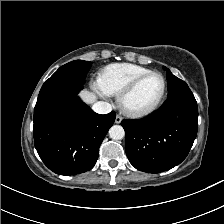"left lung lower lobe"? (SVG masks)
<instances>
[{
    "label": "left lung lower lobe",
    "mask_w": 224,
    "mask_h": 224,
    "mask_svg": "<svg viewBox=\"0 0 224 224\" xmlns=\"http://www.w3.org/2000/svg\"><path fill=\"white\" fill-rule=\"evenodd\" d=\"M125 148L138 170L159 173L180 164L188 155L198 130V107L189 87L168 95L148 117L123 120Z\"/></svg>",
    "instance_id": "0a47b994"
}]
</instances>
